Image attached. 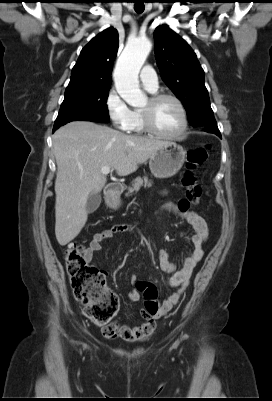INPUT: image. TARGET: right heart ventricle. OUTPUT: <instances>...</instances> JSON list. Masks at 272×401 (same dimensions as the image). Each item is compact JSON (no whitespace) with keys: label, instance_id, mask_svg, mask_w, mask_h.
I'll return each mask as SVG.
<instances>
[{"label":"right heart ventricle","instance_id":"e07e8e85","mask_svg":"<svg viewBox=\"0 0 272 401\" xmlns=\"http://www.w3.org/2000/svg\"><path fill=\"white\" fill-rule=\"evenodd\" d=\"M127 131L130 133H136V134H142V133L146 132V130L144 129L143 123H142L140 109L133 110L131 123H130Z\"/></svg>","mask_w":272,"mask_h":401}]
</instances>
